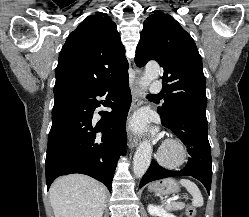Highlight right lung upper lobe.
Listing matches in <instances>:
<instances>
[{
    "label": "right lung upper lobe",
    "instance_id": "1",
    "mask_svg": "<svg viewBox=\"0 0 249 217\" xmlns=\"http://www.w3.org/2000/svg\"><path fill=\"white\" fill-rule=\"evenodd\" d=\"M125 47L106 13L88 16L68 36L59 54L54 89L96 88L128 76Z\"/></svg>",
    "mask_w": 249,
    "mask_h": 217
}]
</instances>
